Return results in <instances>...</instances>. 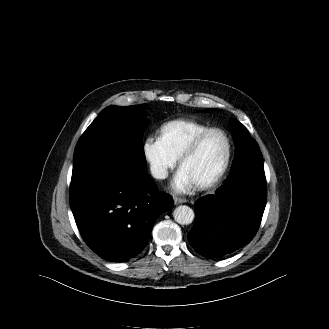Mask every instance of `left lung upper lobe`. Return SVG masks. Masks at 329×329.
Segmentation results:
<instances>
[{
  "label": "left lung upper lobe",
  "mask_w": 329,
  "mask_h": 329,
  "mask_svg": "<svg viewBox=\"0 0 329 329\" xmlns=\"http://www.w3.org/2000/svg\"><path fill=\"white\" fill-rule=\"evenodd\" d=\"M212 110V109H210ZM236 143V155L234 161L243 160L247 166L254 168V165L263 164L262 154L257 142L250 136L247 129L237 122L233 131Z\"/></svg>",
  "instance_id": "obj_1"
}]
</instances>
